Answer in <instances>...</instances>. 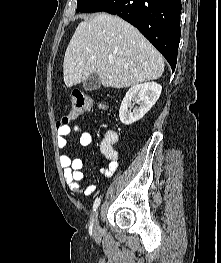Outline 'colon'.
<instances>
[{
  "instance_id": "obj_1",
  "label": "colon",
  "mask_w": 221,
  "mask_h": 263,
  "mask_svg": "<svg viewBox=\"0 0 221 263\" xmlns=\"http://www.w3.org/2000/svg\"><path fill=\"white\" fill-rule=\"evenodd\" d=\"M95 102L86 95L73 94L71 98V108L69 114L62 118V121L58 123L59 126L63 127L67 125L69 120H73L88 112L93 108Z\"/></svg>"
}]
</instances>
